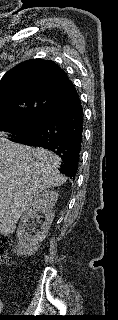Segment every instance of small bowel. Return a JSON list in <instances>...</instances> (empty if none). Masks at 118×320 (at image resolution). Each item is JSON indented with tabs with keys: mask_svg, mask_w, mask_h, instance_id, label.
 Listing matches in <instances>:
<instances>
[{
	"mask_svg": "<svg viewBox=\"0 0 118 320\" xmlns=\"http://www.w3.org/2000/svg\"><path fill=\"white\" fill-rule=\"evenodd\" d=\"M2 310H3V303H2V301L0 300V314L2 313Z\"/></svg>",
	"mask_w": 118,
	"mask_h": 320,
	"instance_id": "small-bowel-1",
	"label": "small bowel"
}]
</instances>
